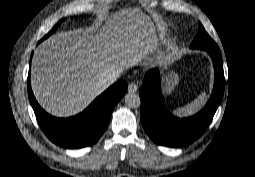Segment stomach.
Returning <instances> with one entry per match:
<instances>
[{"label": "stomach", "instance_id": "1", "mask_svg": "<svg viewBox=\"0 0 255 177\" xmlns=\"http://www.w3.org/2000/svg\"><path fill=\"white\" fill-rule=\"evenodd\" d=\"M175 79H176V77L173 74L168 75V78H167V88L168 89H169V86L171 84H173Z\"/></svg>", "mask_w": 255, "mask_h": 177}]
</instances>
